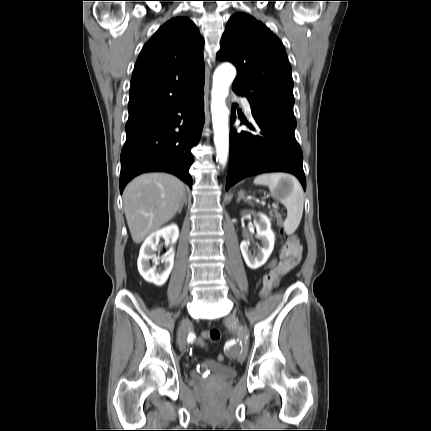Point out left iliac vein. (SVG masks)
Listing matches in <instances>:
<instances>
[{"label":"left iliac vein","mask_w":431,"mask_h":431,"mask_svg":"<svg viewBox=\"0 0 431 431\" xmlns=\"http://www.w3.org/2000/svg\"><path fill=\"white\" fill-rule=\"evenodd\" d=\"M226 323L230 326H235V327H237L239 325L238 319L233 314H229L226 317ZM238 335L241 338V340L243 341V348H242V351L237 356V360L239 362H243L245 360V358L247 356V352H248L246 332L244 330L240 329V330H238Z\"/></svg>","instance_id":"4c4485c4"}]
</instances>
